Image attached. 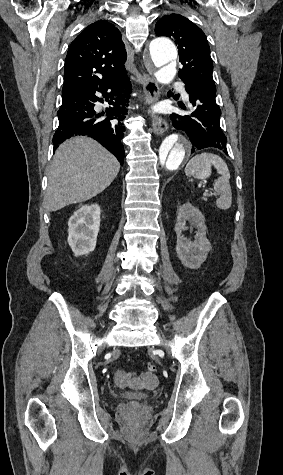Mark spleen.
<instances>
[{
  "instance_id": "1",
  "label": "spleen",
  "mask_w": 283,
  "mask_h": 475,
  "mask_svg": "<svg viewBox=\"0 0 283 475\" xmlns=\"http://www.w3.org/2000/svg\"><path fill=\"white\" fill-rule=\"evenodd\" d=\"M214 166L217 170V174H220V178L215 180L213 186L215 192L219 194L220 198L216 200L217 208L220 210H228L232 204V190L230 186V174L227 168L226 162L216 156V154H198L189 160L186 168V176H193L197 180H206L211 176V168Z\"/></svg>"
}]
</instances>
